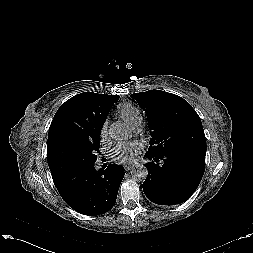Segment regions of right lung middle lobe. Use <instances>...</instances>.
Instances as JSON below:
<instances>
[{
  "label": "right lung middle lobe",
  "instance_id": "1",
  "mask_svg": "<svg viewBox=\"0 0 253 253\" xmlns=\"http://www.w3.org/2000/svg\"><path fill=\"white\" fill-rule=\"evenodd\" d=\"M100 136L92 140L72 141L60 147L48 161L52 175L94 164L100 147Z\"/></svg>",
  "mask_w": 253,
  "mask_h": 253
}]
</instances>
